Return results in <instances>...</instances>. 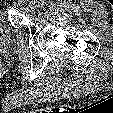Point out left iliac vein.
<instances>
[{
  "label": "left iliac vein",
  "mask_w": 113,
  "mask_h": 113,
  "mask_svg": "<svg viewBox=\"0 0 113 113\" xmlns=\"http://www.w3.org/2000/svg\"><path fill=\"white\" fill-rule=\"evenodd\" d=\"M29 7H30L31 10H35L36 7H37L36 2L31 0L30 3H29Z\"/></svg>",
  "instance_id": "4c4485c4"
}]
</instances>
